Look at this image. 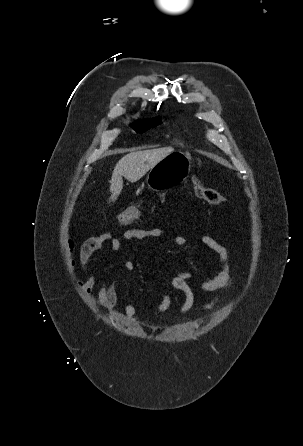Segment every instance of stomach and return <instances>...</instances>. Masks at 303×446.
Listing matches in <instances>:
<instances>
[{
	"instance_id": "0dacf381",
	"label": "stomach",
	"mask_w": 303,
	"mask_h": 446,
	"mask_svg": "<svg viewBox=\"0 0 303 446\" xmlns=\"http://www.w3.org/2000/svg\"><path fill=\"white\" fill-rule=\"evenodd\" d=\"M191 169L190 157L182 152H172L154 165L146 178L151 190L164 191L183 183Z\"/></svg>"
}]
</instances>
